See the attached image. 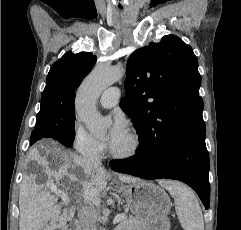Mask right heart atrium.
<instances>
[{
	"instance_id": "obj_1",
	"label": "right heart atrium",
	"mask_w": 241,
	"mask_h": 230,
	"mask_svg": "<svg viewBox=\"0 0 241 230\" xmlns=\"http://www.w3.org/2000/svg\"><path fill=\"white\" fill-rule=\"evenodd\" d=\"M72 144L79 154L87 157H97L105 149L104 143L95 138L78 122L74 125Z\"/></svg>"
}]
</instances>
